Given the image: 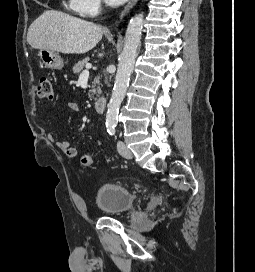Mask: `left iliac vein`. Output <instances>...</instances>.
<instances>
[{"label": "left iliac vein", "instance_id": "obj_1", "mask_svg": "<svg viewBox=\"0 0 255 272\" xmlns=\"http://www.w3.org/2000/svg\"><path fill=\"white\" fill-rule=\"evenodd\" d=\"M117 149L120 155L127 159H131L133 157L132 152L126 147V145L122 141H118Z\"/></svg>", "mask_w": 255, "mask_h": 272}]
</instances>
